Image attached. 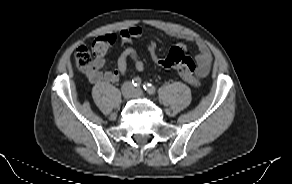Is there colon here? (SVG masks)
Returning a JSON list of instances; mask_svg holds the SVG:
<instances>
[{"label": "colon", "instance_id": "1", "mask_svg": "<svg viewBox=\"0 0 292 184\" xmlns=\"http://www.w3.org/2000/svg\"><path fill=\"white\" fill-rule=\"evenodd\" d=\"M115 41L114 34H107L94 39L90 48L84 44L79 45L75 51L77 67L84 72L90 71L94 65V57L103 56ZM147 48L153 60L160 66L176 69L185 81L194 86L200 84V79L196 74V65L190 57L186 56L183 48L174 46L165 56H162L154 35L149 38Z\"/></svg>", "mask_w": 292, "mask_h": 184}]
</instances>
